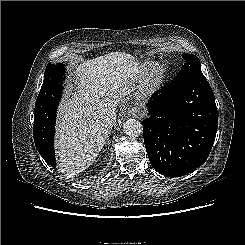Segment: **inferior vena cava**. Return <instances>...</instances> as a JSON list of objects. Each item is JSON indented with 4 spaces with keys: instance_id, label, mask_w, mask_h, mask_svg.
Here are the masks:
<instances>
[{
    "instance_id": "inferior-vena-cava-1",
    "label": "inferior vena cava",
    "mask_w": 245,
    "mask_h": 245,
    "mask_svg": "<svg viewBox=\"0 0 245 245\" xmlns=\"http://www.w3.org/2000/svg\"><path fill=\"white\" fill-rule=\"evenodd\" d=\"M116 104L117 103L111 99H102L96 107V113L108 128L113 126L116 121Z\"/></svg>"
}]
</instances>
